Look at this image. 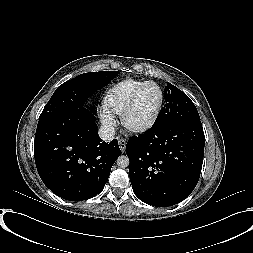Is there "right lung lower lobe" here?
<instances>
[{"instance_id": "1", "label": "right lung lower lobe", "mask_w": 253, "mask_h": 253, "mask_svg": "<svg viewBox=\"0 0 253 253\" xmlns=\"http://www.w3.org/2000/svg\"><path fill=\"white\" fill-rule=\"evenodd\" d=\"M95 113L82 107L38 122L34 156L44 184L70 201L96 196L104 188L121 151L116 139L99 137Z\"/></svg>"}]
</instances>
